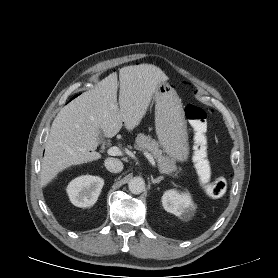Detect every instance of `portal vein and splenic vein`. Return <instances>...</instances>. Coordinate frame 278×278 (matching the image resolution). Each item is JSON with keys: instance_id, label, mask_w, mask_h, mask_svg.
<instances>
[{"instance_id": "18ae733b", "label": "portal vein and splenic vein", "mask_w": 278, "mask_h": 278, "mask_svg": "<svg viewBox=\"0 0 278 278\" xmlns=\"http://www.w3.org/2000/svg\"><path fill=\"white\" fill-rule=\"evenodd\" d=\"M107 153L109 155H111V156H120V155H122L121 150L118 147H116V146L110 147L107 150ZM143 154L148 159V161L151 163V165L155 168L156 167V163H155V160L152 157V155L150 153L146 152V151H144Z\"/></svg>"}]
</instances>
